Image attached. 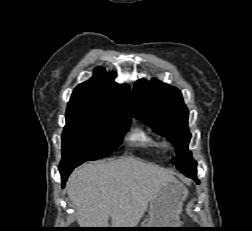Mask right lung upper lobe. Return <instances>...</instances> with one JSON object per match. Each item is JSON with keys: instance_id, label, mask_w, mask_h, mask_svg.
Returning a JSON list of instances; mask_svg holds the SVG:
<instances>
[{"instance_id": "cb5924a9", "label": "right lung upper lobe", "mask_w": 252, "mask_h": 231, "mask_svg": "<svg viewBox=\"0 0 252 231\" xmlns=\"http://www.w3.org/2000/svg\"><path fill=\"white\" fill-rule=\"evenodd\" d=\"M114 77V73L97 68L89 81L75 88L67 111L83 110L130 117L129 87L117 84Z\"/></svg>"}]
</instances>
